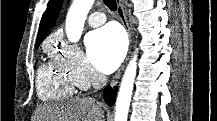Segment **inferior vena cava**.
<instances>
[{"label": "inferior vena cava", "mask_w": 217, "mask_h": 121, "mask_svg": "<svg viewBox=\"0 0 217 121\" xmlns=\"http://www.w3.org/2000/svg\"><path fill=\"white\" fill-rule=\"evenodd\" d=\"M105 83H106V77L103 75L97 76L93 81V85L95 88H99V87L105 85Z\"/></svg>", "instance_id": "602c4592"}]
</instances>
